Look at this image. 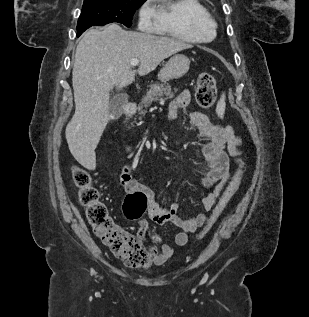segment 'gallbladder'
I'll list each match as a JSON object with an SVG mask.
<instances>
[{
  "mask_svg": "<svg viewBox=\"0 0 309 317\" xmlns=\"http://www.w3.org/2000/svg\"><path fill=\"white\" fill-rule=\"evenodd\" d=\"M127 102L128 96L123 93L116 94L110 99L109 114L111 119L115 120L121 116L123 108L125 107Z\"/></svg>",
  "mask_w": 309,
  "mask_h": 317,
  "instance_id": "gallbladder-1",
  "label": "gallbladder"
}]
</instances>
